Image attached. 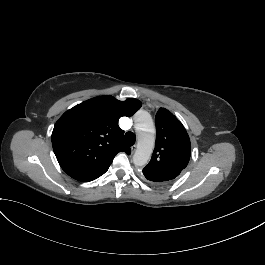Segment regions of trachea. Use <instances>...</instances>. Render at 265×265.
Here are the masks:
<instances>
[{"mask_svg": "<svg viewBox=\"0 0 265 265\" xmlns=\"http://www.w3.org/2000/svg\"><path fill=\"white\" fill-rule=\"evenodd\" d=\"M124 141L127 145L132 146L136 141V136L133 132H127L124 136Z\"/></svg>", "mask_w": 265, "mask_h": 265, "instance_id": "obj_1", "label": "trachea"}]
</instances>
